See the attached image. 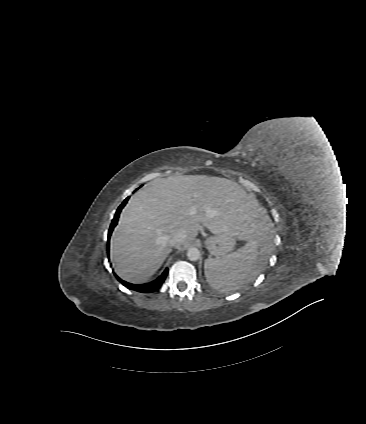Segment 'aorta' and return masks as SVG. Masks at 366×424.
Wrapping results in <instances>:
<instances>
[{
  "label": "aorta",
  "instance_id": "obj_1",
  "mask_svg": "<svg viewBox=\"0 0 366 424\" xmlns=\"http://www.w3.org/2000/svg\"><path fill=\"white\" fill-rule=\"evenodd\" d=\"M187 257L190 261H197L200 258V251L196 247H190L187 250Z\"/></svg>",
  "mask_w": 366,
  "mask_h": 424
}]
</instances>
